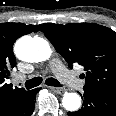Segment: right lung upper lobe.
<instances>
[{"label":"right lung upper lobe","instance_id":"1","mask_svg":"<svg viewBox=\"0 0 116 116\" xmlns=\"http://www.w3.org/2000/svg\"><path fill=\"white\" fill-rule=\"evenodd\" d=\"M41 25H25L22 23L0 24V116L15 104L27 91L23 88H13L5 83L10 76V70L16 65L13 44L21 36L39 31Z\"/></svg>","mask_w":116,"mask_h":116}]
</instances>
